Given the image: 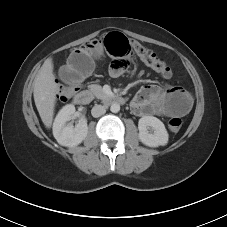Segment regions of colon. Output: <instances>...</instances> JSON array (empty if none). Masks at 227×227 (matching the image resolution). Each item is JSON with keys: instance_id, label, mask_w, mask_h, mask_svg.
Instances as JSON below:
<instances>
[{"instance_id": "colon-1", "label": "colon", "mask_w": 227, "mask_h": 227, "mask_svg": "<svg viewBox=\"0 0 227 227\" xmlns=\"http://www.w3.org/2000/svg\"><path fill=\"white\" fill-rule=\"evenodd\" d=\"M103 49L106 50L113 59L130 58L133 55H137L145 65L161 74L164 78H170L172 75L170 67L163 58L159 57L154 51L141 43L117 32L108 33L98 39H92L74 49L72 52L84 50L88 53H93ZM79 88L80 87L68 86L61 83L58 85L57 97L61 101H66L71 98ZM181 126L182 120L177 117L171 118L168 122V128L172 132H178Z\"/></svg>"}]
</instances>
